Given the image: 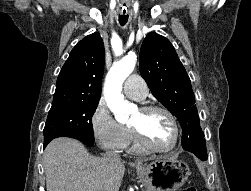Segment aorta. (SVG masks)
<instances>
[{
    "instance_id": "762f6f07",
    "label": "aorta",
    "mask_w": 251,
    "mask_h": 191,
    "mask_svg": "<svg viewBox=\"0 0 251 191\" xmlns=\"http://www.w3.org/2000/svg\"><path fill=\"white\" fill-rule=\"evenodd\" d=\"M135 64V54H129V56L122 58L120 62H115L106 76L104 86L105 99L117 121H127L131 111L135 109L134 103L126 101L123 94H121L122 84L132 74Z\"/></svg>"
}]
</instances>
